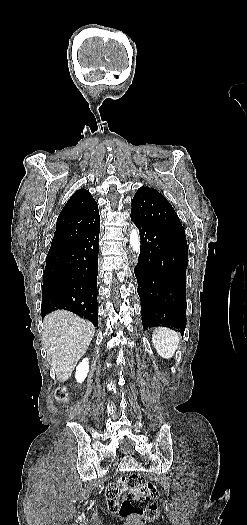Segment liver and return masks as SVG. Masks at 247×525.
I'll return each mask as SVG.
<instances>
[{"label":"liver","instance_id":"6515ba94","mask_svg":"<svg viewBox=\"0 0 247 525\" xmlns=\"http://www.w3.org/2000/svg\"><path fill=\"white\" fill-rule=\"evenodd\" d=\"M42 343L51 375L59 383L68 381L85 355L96 327L70 311H53L43 319Z\"/></svg>","mask_w":247,"mask_h":525}]
</instances>
